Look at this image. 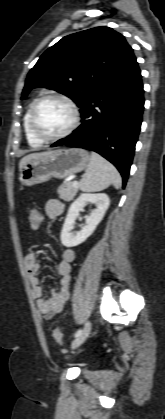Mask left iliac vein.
<instances>
[{"label":"left iliac vein","mask_w":165,"mask_h":419,"mask_svg":"<svg viewBox=\"0 0 165 419\" xmlns=\"http://www.w3.org/2000/svg\"><path fill=\"white\" fill-rule=\"evenodd\" d=\"M91 332V322L88 321L81 334L79 336H77L71 343V349H76L77 347H79L89 336Z\"/></svg>","instance_id":"obj_1"}]
</instances>
